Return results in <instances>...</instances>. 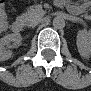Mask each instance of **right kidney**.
Wrapping results in <instances>:
<instances>
[{
  "label": "right kidney",
  "instance_id": "obj_1",
  "mask_svg": "<svg viewBox=\"0 0 91 91\" xmlns=\"http://www.w3.org/2000/svg\"><path fill=\"white\" fill-rule=\"evenodd\" d=\"M10 42H13L15 46H19L20 35L17 33L9 34L0 39V60L5 61L12 57V51L9 49Z\"/></svg>",
  "mask_w": 91,
  "mask_h": 91
}]
</instances>
